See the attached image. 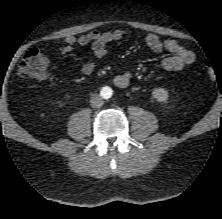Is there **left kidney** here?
I'll return each mask as SVG.
<instances>
[{"mask_svg": "<svg viewBox=\"0 0 222 219\" xmlns=\"http://www.w3.org/2000/svg\"><path fill=\"white\" fill-rule=\"evenodd\" d=\"M152 95L158 102H162V103L168 102L169 93L164 88H155L152 91Z\"/></svg>", "mask_w": 222, "mask_h": 219, "instance_id": "5707ae66", "label": "left kidney"}]
</instances>
